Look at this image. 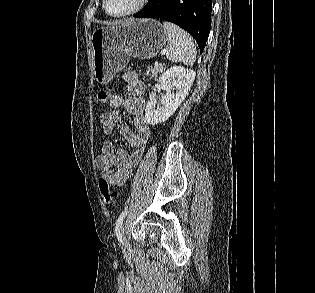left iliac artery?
Returning a JSON list of instances; mask_svg holds the SVG:
<instances>
[{
	"instance_id": "left-iliac-artery-1",
	"label": "left iliac artery",
	"mask_w": 315,
	"mask_h": 293,
	"mask_svg": "<svg viewBox=\"0 0 315 293\" xmlns=\"http://www.w3.org/2000/svg\"><path fill=\"white\" fill-rule=\"evenodd\" d=\"M128 213V209H125L118 217L117 222H116V227H115V232L118 240L122 243L121 235H120V226L125 219L126 215Z\"/></svg>"
}]
</instances>
